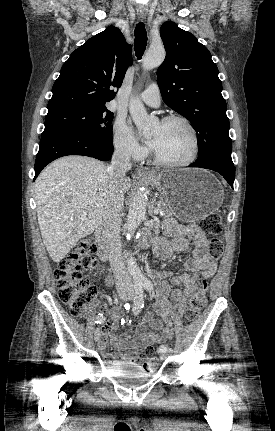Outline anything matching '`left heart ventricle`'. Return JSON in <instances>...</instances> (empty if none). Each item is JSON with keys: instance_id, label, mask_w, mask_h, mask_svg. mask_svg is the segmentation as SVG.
<instances>
[{"instance_id": "1", "label": "left heart ventricle", "mask_w": 275, "mask_h": 431, "mask_svg": "<svg viewBox=\"0 0 275 431\" xmlns=\"http://www.w3.org/2000/svg\"><path fill=\"white\" fill-rule=\"evenodd\" d=\"M150 137L154 142V150L166 161L181 162L191 155L192 137L180 122L160 123L155 126Z\"/></svg>"}]
</instances>
